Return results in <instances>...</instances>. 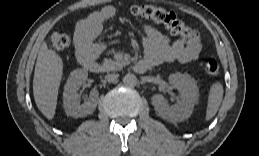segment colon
Segmentation results:
<instances>
[{
    "label": "colon",
    "instance_id": "1",
    "mask_svg": "<svg viewBox=\"0 0 259 156\" xmlns=\"http://www.w3.org/2000/svg\"><path fill=\"white\" fill-rule=\"evenodd\" d=\"M131 12L134 15L152 20L156 23L166 26L171 33L179 35L182 39L188 41L194 37L195 32L185 26L172 10L157 7L149 4L133 6ZM52 49L61 51L66 49L71 43V36L68 33L54 32L49 38ZM205 72L210 76H215L219 72V64L216 60L211 59L205 64Z\"/></svg>",
    "mask_w": 259,
    "mask_h": 156
}]
</instances>
